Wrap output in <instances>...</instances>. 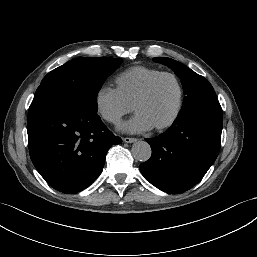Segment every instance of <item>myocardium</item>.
<instances>
[{"label":"myocardium","mask_w":257,"mask_h":257,"mask_svg":"<svg viewBox=\"0 0 257 257\" xmlns=\"http://www.w3.org/2000/svg\"><path fill=\"white\" fill-rule=\"evenodd\" d=\"M164 77H170L176 83V86L178 89V100H177L176 108H175L173 114L170 116V118L167 119L165 122L154 126V128L157 130H163V129L170 127L171 125H173L176 122V120L179 118V116L181 114V111H182L183 105H184V87H183V84H182L180 78L175 73H172V72H161L160 74H158L157 76H155L153 79H151L148 82V84L144 87V89L140 92V94L137 96V98L133 102V109L135 110L136 105L138 103L144 101L146 98H148L149 95L151 94L153 88L158 83V81Z\"/></svg>","instance_id":"1"}]
</instances>
